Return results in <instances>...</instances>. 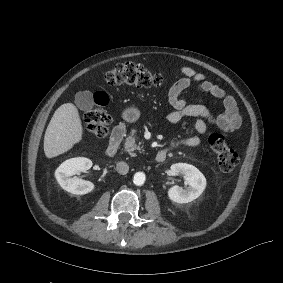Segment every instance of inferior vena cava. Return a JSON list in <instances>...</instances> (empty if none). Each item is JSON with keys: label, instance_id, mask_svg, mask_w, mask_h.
Segmentation results:
<instances>
[{"label": "inferior vena cava", "instance_id": "602c4592", "mask_svg": "<svg viewBox=\"0 0 283 283\" xmlns=\"http://www.w3.org/2000/svg\"><path fill=\"white\" fill-rule=\"evenodd\" d=\"M116 169L121 174H126L129 171V166L124 161H119L116 163Z\"/></svg>", "mask_w": 283, "mask_h": 283}]
</instances>
